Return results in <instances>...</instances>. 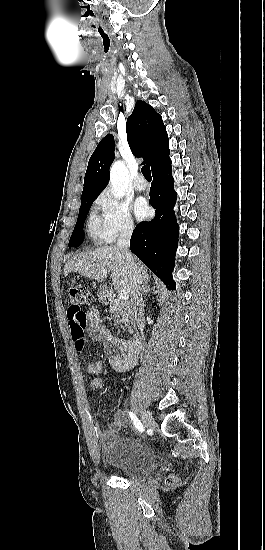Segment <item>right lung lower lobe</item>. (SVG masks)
<instances>
[{"instance_id":"right-lung-lower-lobe-1","label":"right lung lower lobe","mask_w":265,"mask_h":550,"mask_svg":"<svg viewBox=\"0 0 265 550\" xmlns=\"http://www.w3.org/2000/svg\"><path fill=\"white\" fill-rule=\"evenodd\" d=\"M152 175L149 203L156 209V214L150 222H142L136 226L131 237L130 249L170 289H175L172 271L179 227L173 211L176 192L173 188L174 179L169 155L152 169Z\"/></svg>"}]
</instances>
